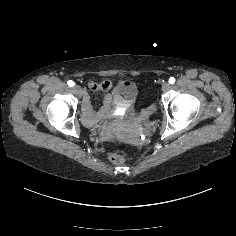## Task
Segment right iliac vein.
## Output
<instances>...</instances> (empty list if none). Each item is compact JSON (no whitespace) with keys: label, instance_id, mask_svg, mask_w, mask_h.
I'll use <instances>...</instances> for the list:
<instances>
[{"label":"right iliac vein","instance_id":"right-iliac-vein-1","mask_svg":"<svg viewBox=\"0 0 236 236\" xmlns=\"http://www.w3.org/2000/svg\"><path fill=\"white\" fill-rule=\"evenodd\" d=\"M73 91L79 96L82 97L83 91L80 86L75 85L73 86Z\"/></svg>","mask_w":236,"mask_h":236}]
</instances>
